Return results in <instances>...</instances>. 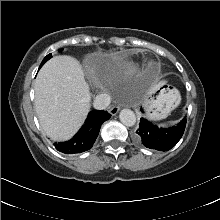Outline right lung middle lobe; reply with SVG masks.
Listing matches in <instances>:
<instances>
[{
    "mask_svg": "<svg viewBox=\"0 0 220 220\" xmlns=\"http://www.w3.org/2000/svg\"><path fill=\"white\" fill-rule=\"evenodd\" d=\"M51 57H52V55H51V54H48V55L43 59V61H42L41 65H40V67H41L46 61H48Z\"/></svg>",
    "mask_w": 220,
    "mask_h": 220,
    "instance_id": "dd1d6c3e",
    "label": "right lung middle lobe"
}]
</instances>
